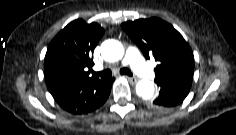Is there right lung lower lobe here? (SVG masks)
Wrapping results in <instances>:
<instances>
[{
	"instance_id": "obj_1",
	"label": "right lung lower lobe",
	"mask_w": 236,
	"mask_h": 135,
	"mask_svg": "<svg viewBox=\"0 0 236 135\" xmlns=\"http://www.w3.org/2000/svg\"><path fill=\"white\" fill-rule=\"evenodd\" d=\"M114 80L60 78L47 83V87L60 107L71 114L82 115L95 111L106 102Z\"/></svg>"
}]
</instances>
